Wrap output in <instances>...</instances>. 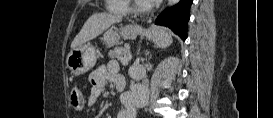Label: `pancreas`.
<instances>
[{"label": "pancreas", "instance_id": "obj_1", "mask_svg": "<svg viewBox=\"0 0 273 118\" xmlns=\"http://www.w3.org/2000/svg\"><path fill=\"white\" fill-rule=\"evenodd\" d=\"M128 51L127 47H116L114 50L109 51V56L112 59H117L123 65H127L128 61H125V53Z\"/></svg>", "mask_w": 273, "mask_h": 118}]
</instances>
